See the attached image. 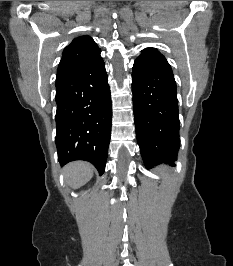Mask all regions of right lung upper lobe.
Listing matches in <instances>:
<instances>
[{
  "label": "right lung upper lobe",
  "mask_w": 233,
  "mask_h": 266,
  "mask_svg": "<svg viewBox=\"0 0 233 266\" xmlns=\"http://www.w3.org/2000/svg\"><path fill=\"white\" fill-rule=\"evenodd\" d=\"M100 49L89 36H80L71 42L63 51L57 69L56 82L78 72L100 55Z\"/></svg>",
  "instance_id": "1"
}]
</instances>
